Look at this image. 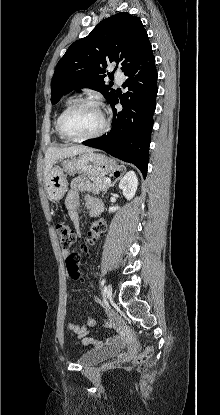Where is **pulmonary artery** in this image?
I'll use <instances>...</instances> for the list:
<instances>
[{
    "label": "pulmonary artery",
    "instance_id": "e3ab8cb5",
    "mask_svg": "<svg viewBox=\"0 0 220 415\" xmlns=\"http://www.w3.org/2000/svg\"><path fill=\"white\" fill-rule=\"evenodd\" d=\"M115 79L117 81L118 84H121L124 81V75L121 72H116L115 73Z\"/></svg>",
    "mask_w": 220,
    "mask_h": 415
}]
</instances>
